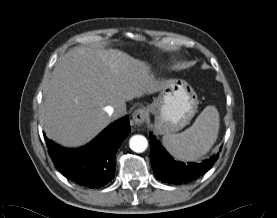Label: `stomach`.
<instances>
[{"instance_id":"obj_1","label":"stomach","mask_w":277,"mask_h":218,"mask_svg":"<svg viewBox=\"0 0 277 218\" xmlns=\"http://www.w3.org/2000/svg\"><path fill=\"white\" fill-rule=\"evenodd\" d=\"M198 108L197 94L182 79L163 82L159 96L149 106L155 115L154 129L158 134H174L194 117Z\"/></svg>"}]
</instances>
